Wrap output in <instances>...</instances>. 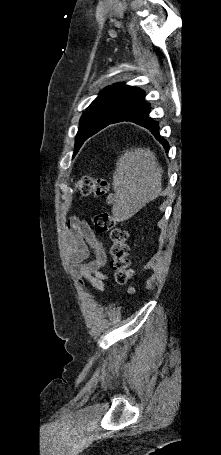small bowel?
<instances>
[{
	"instance_id": "small-bowel-1",
	"label": "small bowel",
	"mask_w": 221,
	"mask_h": 455,
	"mask_svg": "<svg viewBox=\"0 0 221 455\" xmlns=\"http://www.w3.org/2000/svg\"><path fill=\"white\" fill-rule=\"evenodd\" d=\"M65 249L70 262L77 267L81 278L89 280L100 293L106 292L107 276L102 272L106 254L102 242L90 226L79 219L70 220L64 233ZM92 255V261L86 259Z\"/></svg>"
}]
</instances>
